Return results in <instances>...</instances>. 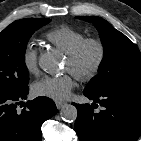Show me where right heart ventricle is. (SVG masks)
<instances>
[{"label": "right heart ventricle", "instance_id": "1", "mask_svg": "<svg viewBox=\"0 0 141 141\" xmlns=\"http://www.w3.org/2000/svg\"><path fill=\"white\" fill-rule=\"evenodd\" d=\"M44 37L49 43L68 54L85 39V34L74 27L63 25L49 30Z\"/></svg>", "mask_w": 141, "mask_h": 141}]
</instances>
